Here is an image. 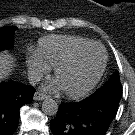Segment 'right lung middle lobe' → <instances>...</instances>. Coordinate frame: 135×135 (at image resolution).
<instances>
[{
	"label": "right lung middle lobe",
	"instance_id": "obj_1",
	"mask_svg": "<svg viewBox=\"0 0 135 135\" xmlns=\"http://www.w3.org/2000/svg\"><path fill=\"white\" fill-rule=\"evenodd\" d=\"M15 26H5L0 28V50L10 48L13 45Z\"/></svg>",
	"mask_w": 135,
	"mask_h": 135
}]
</instances>
